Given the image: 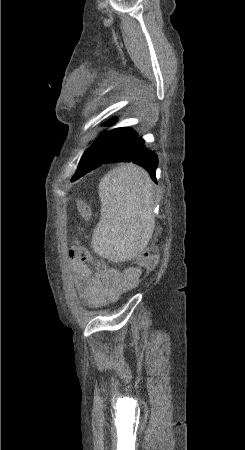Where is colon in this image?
<instances>
[{"label": "colon", "instance_id": "1", "mask_svg": "<svg viewBox=\"0 0 245 450\" xmlns=\"http://www.w3.org/2000/svg\"><path fill=\"white\" fill-rule=\"evenodd\" d=\"M77 208L79 214L85 221H90L93 217V208L83 200H79L77 202ZM71 251L76 260L79 262H93V258L91 257L89 251L79 242L75 241L72 245ZM157 248L149 247L144 249L141 253L137 255L135 258L136 265L144 270H151L156 266L157 263ZM96 266L98 269L103 268V264L101 262H97Z\"/></svg>", "mask_w": 245, "mask_h": 450}]
</instances>
